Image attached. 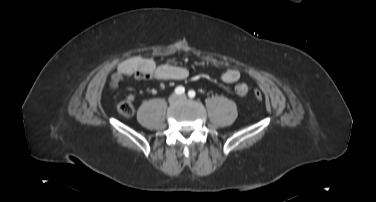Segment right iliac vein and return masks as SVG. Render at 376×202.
<instances>
[{
    "instance_id": "obj_1",
    "label": "right iliac vein",
    "mask_w": 376,
    "mask_h": 202,
    "mask_svg": "<svg viewBox=\"0 0 376 202\" xmlns=\"http://www.w3.org/2000/svg\"><path fill=\"white\" fill-rule=\"evenodd\" d=\"M177 100H178V96L176 94H172L168 99L170 104H174Z\"/></svg>"
}]
</instances>
